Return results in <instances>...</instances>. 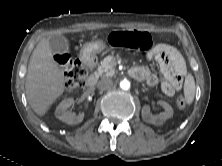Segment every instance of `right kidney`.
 <instances>
[{"label":"right kidney","instance_id":"right-kidney-1","mask_svg":"<svg viewBox=\"0 0 222 166\" xmlns=\"http://www.w3.org/2000/svg\"><path fill=\"white\" fill-rule=\"evenodd\" d=\"M74 102L75 101L73 98L64 99L56 108L55 116L59 120L65 122L67 124H70V125L81 123L84 119V116H85V114L83 112L76 115L75 113L68 111V108L71 105H73Z\"/></svg>","mask_w":222,"mask_h":166}]
</instances>
